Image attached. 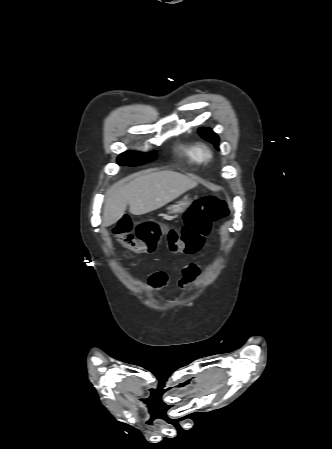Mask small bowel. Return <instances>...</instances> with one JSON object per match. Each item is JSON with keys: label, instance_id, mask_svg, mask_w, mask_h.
<instances>
[{"label": "small bowel", "instance_id": "small-bowel-1", "mask_svg": "<svg viewBox=\"0 0 332 449\" xmlns=\"http://www.w3.org/2000/svg\"><path fill=\"white\" fill-rule=\"evenodd\" d=\"M183 277L178 285L184 288L188 283L194 281L199 275V268L194 263H187L182 267ZM168 284V276L162 270L154 271L149 275L148 286L151 290H159Z\"/></svg>", "mask_w": 332, "mask_h": 449}]
</instances>
